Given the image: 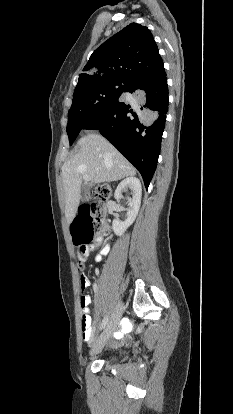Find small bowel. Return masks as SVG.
<instances>
[{
  "mask_svg": "<svg viewBox=\"0 0 233 414\" xmlns=\"http://www.w3.org/2000/svg\"><path fill=\"white\" fill-rule=\"evenodd\" d=\"M98 246V243L91 246H87L84 249H82V253L85 256L90 255V253ZM107 252V247H103L99 253H97L94 256L95 261H100L102 255H104ZM79 283L81 284V292L85 293L86 290L90 287V280L88 279L87 271L81 270L79 273ZM91 297L88 295H83L80 300V306L82 310L81 315V328H82V337L87 342H92L94 339V329L92 327V318L89 314V305L91 304ZM131 328L130 321L126 320L121 325V330L116 333V337L118 339L122 338L123 333L128 332Z\"/></svg>",
  "mask_w": 233,
  "mask_h": 414,
  "instance_id": "obj_1",
  "label": "small bowel"
}]
</instances>
